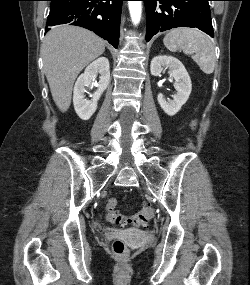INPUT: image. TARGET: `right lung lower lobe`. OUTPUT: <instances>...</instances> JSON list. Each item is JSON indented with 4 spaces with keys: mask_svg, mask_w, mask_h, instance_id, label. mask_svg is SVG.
<instances>
[{
    "mask_svg": "<svg viewBox=\"0 0 250 285\" xmlns=\"http://www.w3.org/2000/svg\"><path fill=\"white\" fill-rule=\"evenodd\" d=\"M45 31L50 26L71 23L87 28L114 48L119 41L122 2L125 0H50Z\"/></svg>",
    "mask_w": 250,
    "mask_h": 285,
    "instance_id": "1",
    "label": "right lung lower lobe"
}]
</instances>
